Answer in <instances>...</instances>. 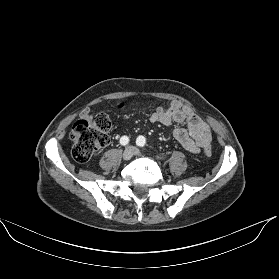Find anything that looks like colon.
Here are the masks:
<instances>
[{
	"label": "colon",
	"mask_w": 279,
	"mask_h": 279,
	"mask_svg": "<svg viewBox=\"0 0 279 279\" xmlns=\"http://www.w3.org/2000/svg\"><path fill=\"white\" fill-rule=\"evenodd\" d=\"M112 125L110 115L100 113L89 117L82 116L71 128L70 138L73 143L72 157L78 163L87 162L94 153L109 143L108 131ZM206 155L212 152L211 145L204 149Z\"/></svg>",
	"instance_id": "1"
}]
</instances>
